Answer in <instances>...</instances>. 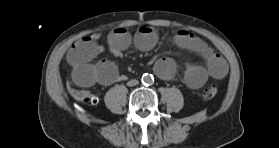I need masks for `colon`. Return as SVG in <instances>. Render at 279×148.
<instances>
[{
  "mask_svg": "<svg viewBox=\"0 0 279 148\" xmlns=\"http://www.w3.org/2000/svg\"><path fill=\"white\" fill-rule=\"evenodd\" d=\"M217 92H218L217 87L215 85H210L202 90L201 96L204 99L210 100V99H213L217 95ZM73 93H74V96L82 102L95 104L98 101V98L94 94H92L88 91L74 90Z\"/></svg>",
  "mask_w": 279,
  "mask_h": 148,
  "instance_id": "1",
  "label": "colon"
}]
</instances>
